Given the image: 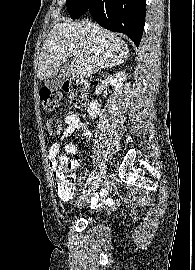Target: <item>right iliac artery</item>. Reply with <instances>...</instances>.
I'll list each match as a JSON object with an SVG mask.
<instances>
[{
	"label": "right iliac artery",
	"mask_w": 195,
	"mask_h": 270,
	"mask_svg": "<svg viewBox=\"0 0 195 270\" xmlns=\"http://www.w3.org/2000/svg\"><path fill=\"white\" fill-rule=\"evenodd\" d=\"M94 172H95V171H93V172L91 173V175L89 176V178H88V180H87V184H86V185L90 184V182L92 181L93 176H94ZM85 188H86V186H85Z\"/></svg>",
	"instance_id": "1"
}]
</instances>
